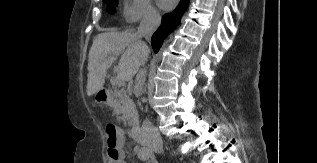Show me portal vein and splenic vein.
I'll use <instances>...</instances> for the list:
<instances>
[{
  "mask_svg": "<svg viewBox=\"0 0 317 163\" xmlns=\"http://www.w3.org/2000/svg\"><path fill=\"white\" fill-rule=\"evenodd\" d=\"M110 82L113 85L119 84L121 82V76L119 74H117L116 77H111Z\"/></svg>",
  "mask_w": 317,
  "mask_h": 163,
  "instance_id": "portal-vein-and-splenic-vein-1",
  "label": "portal vein and splenic vein"
}]
</instances>
